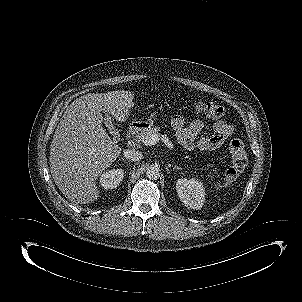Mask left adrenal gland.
I'll use <instances>...</instances> for the list:
<instances>
[{
  "instance_id": "1",
  "label": "left adrenal gland",
  "mask_w": 302,
  "mask_h": 302,
  "mask_svg": "<svg viewBox=\"0 0 302 302\" xmlns=\"http://www.w3.org/2000/svg\"><path fill=\"white\" fill-rule=\"evenodd\" d=\"M173 169H177V170H178V169H181V168L175 165V166L173 167Z\"/></svg>"
}]
</instances>
